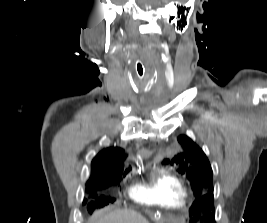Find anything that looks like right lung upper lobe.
Wrapping results in <instances>:
<instances>
[{
  "label": "right lung upper lobe",
  "instance_id": "obj_1",
  "mask_svg": "<svg viewBox=\"0 0 267 223\" xmlns=\"http://www.w3.org/2000/svg\"><path fill=\"white\" fill-rule=\"evenodd\" d=\"M123 154L124 151L120 148H109L101 151L92 161V177L89 181L99 182L112 173H123Z\"/></svg>",
  "mask_w": 267,
  "mask_h": 223
}]
</instances>
